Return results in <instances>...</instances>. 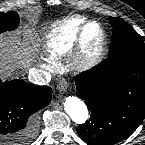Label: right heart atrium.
<instances>
[{"mask_svg": "<svg viewBox=\"0 0 145 145\" xmlns=\"http://www.w3.org/2000/svg\"><path fill=\"white\" fill-rule=\"evenodd\" d=\"M43 67L49 71H52L55 69V63L50 61V62L44 64Z\"/></svg>", "mask_w": 145, "mask_h": 145, "instance_id": "obj_1", "label": "right heart atrium"}]
</instances>
